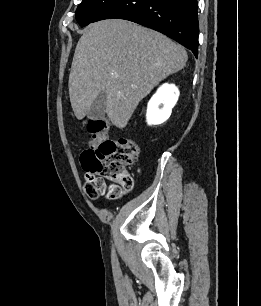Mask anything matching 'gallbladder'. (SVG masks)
I'll list each match as a JSON object with an SVG mask.
<instances>
[{
    "label": "gallbladder",
    "mask_w": 261,
    "mask_h": 306,
    "mask_svg": "<svg viewBox=\"0 0 261 306\" xmlns=\"http://www.w3.org/2000/svg\"><path fill=\"white\" fill-rule=\"evenodd\" d=\"M107 103V95L104 91L100 92L95 98L88 111V116L93 120L103 119Z\"/></svg>",
    "instance_id": "obj_1"
}]
</instances>
